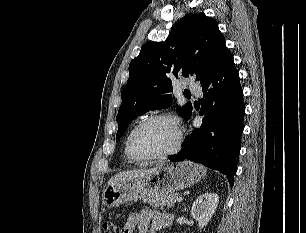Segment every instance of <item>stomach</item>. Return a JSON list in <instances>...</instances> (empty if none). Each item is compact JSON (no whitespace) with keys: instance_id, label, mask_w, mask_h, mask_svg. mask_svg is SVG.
Returning <instances> with one entry per match:
<instances>
[{"instance_id":"obj_1","label":"stomach","mask_w":306,"mask_h":233,"mask_svg":"<svg viewBox=\"0 0 306 233\" xmlns=\"http://www.w3.org/2000/svg\"><path fill=\"white\" fill-rule=\"evenodd\" d=\"M206 176V169L191 161L162 166L152 172L109 183L102 201L107 207H117L129 201L148 200L190 187Z\"/></svg>"}]
</instances>
